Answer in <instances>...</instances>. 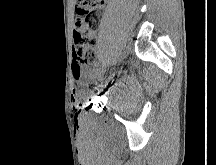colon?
I'll list each match as a JSON object with an SVG mask.
<instances>
[{"label":"colon","mask_w":216,"mask_h":165,"mask_svg":"<svg viewBox=\"0 0 216 165\" xmlns=\"http://www.w3.org/2000/svg\"><path fill=\"white\" fill-rule=\"evenodd\" d=\"M105 0H77L74 27V60L80 66L92 67L96 62L95 31L100 9Z\"/></svg>","instance_id":"1"}]
</instances>
